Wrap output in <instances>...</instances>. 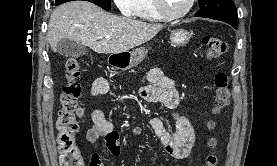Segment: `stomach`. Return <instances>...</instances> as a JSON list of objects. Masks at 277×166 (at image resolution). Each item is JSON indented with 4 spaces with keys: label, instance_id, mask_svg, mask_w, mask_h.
Returning <instances> with one entry per match:
<instances>
[{
    "label": "stomach",
    "instance_id": "stomach-1",
    "mask_svg": "<svg viewBox=\"0 0 277 166\" xmlns=\"http://www.w3.org/2000/svg\"><path fill=\"white\" fill-rule=\"evenodd\" d=\"M191 38V34L184 29H177L171 32L170 41L174 46H184ZM148 51L144 47L132 51L111 54L109 63L117 68L129 69L140 64L146 57Z\"/></svg>",
    "mask_w": 277,
    "mask_h": 166
}]
</instances>
